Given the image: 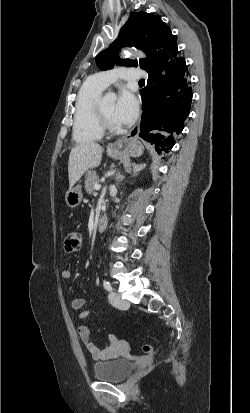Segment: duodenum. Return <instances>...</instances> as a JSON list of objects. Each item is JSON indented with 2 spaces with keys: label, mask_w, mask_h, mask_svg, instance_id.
I'll return each mask as SVG.
<instances>
[{
  "label": "duodenum",
  "mask_w": 250,
  "mask_h": 413,
  "mask_svg": "<svg viewBox=\"0 0 250 413\" xmlns=\"http://www.w3.org/2000/svg\"><path fill=\"white\" fill-rule=\"evenodd\" d=\"M107 224H108L107 216L106 215L100 216L96 223V230L103 231L107 227Z\"/></svg>",
  "instance_id": "1"
}]
</instances>
